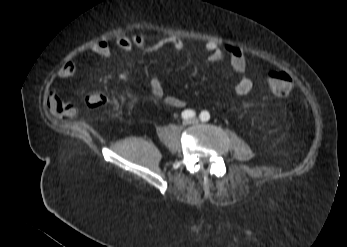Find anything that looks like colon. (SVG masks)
Segmentation results:
<instances>
[{
	"instance_id": "obj_1",
	"label": "colon",
	"mask_w": 347,
	"mask_h": 247,
	"mask_svg": "<svg viewBox=\"0 0 347 247\" xmlns=\"http://www.w3.org/2000/svg\"><path fill=\"white\" fill-rule=\"evenodd\" d=\"M267 82L270 91L276 97L284 98L292 91V79L285 71H273ZM87 103L91 108H100L106 103V97L100 92H92L87 97Z\"/></svg>"
}]
</instances>
